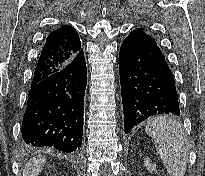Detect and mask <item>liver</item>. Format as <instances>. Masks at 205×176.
Segmentation results:
<instances>
[{
  "mask_svg": "<svg viewBox=\"0 0 205 176\" xmlns=\"http://www.w3.org/2000/svg\"><path fill=\"white\" fill-rule=\"evenodd\" d=\"M46 163V159L44 156H37L33 159H30L23 170V176H38L42 171L44 165Z\"/></svg>",
  "mask_w": 205,
  "mask_h": 176,
  "instance_id": "liver-1",
  "label": "liver"
}]
</instances>
